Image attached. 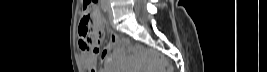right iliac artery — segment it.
<instances>
[{"label": "right iliac artery", "instance_id": "82829eb1", "mask_svg": "<svg viewBox=\"0 0 267 72\" xmlns=\"http://www.w3.org/2000/svg\"><path fill=\"white\" fill-rule=\"evenodd\" d=\"M108 7H109V4L106 0H102L101 1V8L103 9V11H107L108 10Z\"/></svg>", "mask_w": 267, "mask_h": 72}]
</instances>
